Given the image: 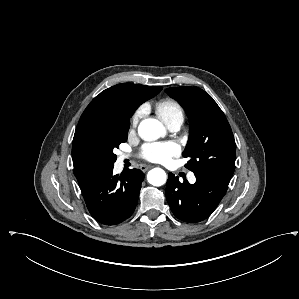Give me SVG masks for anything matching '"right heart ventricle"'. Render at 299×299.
Returning a JSON list of instances; mask_svg holds the SVG:
<instances>
[{
    "label": "right heart ventricle",
    "mask_w": 299,
    "mask_h": 299,
    "mask_svg": "<svg viewBox=\"0 0 299 299\" xmlns=\"http://www.w3.org/2000/svg\"><path fill=\"white\" fill-rule=\"evenodd\" d=\"M155 109L159 117L166 124L176 119H181L183 121V109L181 105L174 99L166 98L157 102L155 105Z\"/></svg>",
    "instance_id": "e07e8e85"
}]
</instances>
